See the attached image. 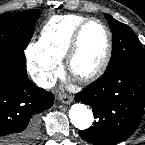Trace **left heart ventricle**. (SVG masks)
<instances>
[{
	"instance_id": "left-heart-ventricle-1",
	"label": "left heart ventricle",
	"mask_w": 145,
	"mask_h": 145,
	"mask_svg": "<svg viewBox=\"0 0 145 145\" xmlns=\"http://www.w3.org/2000/svg\"><path fill=\"white\" fill-rule=\"evenodd\" d=\"M105 49L106 36L102 27L97 23L87 25L81 36L79 52L73 61V74L81 76L95 69Z\"/></svg>"
}]
</instances>
